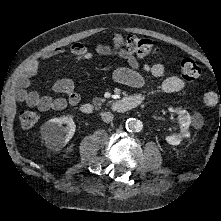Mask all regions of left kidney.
Here are the masks:
<instances>
[{
	"mask_svg": "<svg viewBox=\"0 0 221 221\" xmlns=\"http://www.w3.org/2000/svg\"><path fill=\"white\" fill-rule=\"evenodd\" d=\"M171 112H175L177 114V119L179 121L180 133H176L173 135H167L165 140L170 145H179L184 138H190L189 127L191 124V116L186 110H178L174 108H170Z\"/></svg>",
	"mask_w": 221,
	"mask_h": 221,
	"instance_id": "1",
	"label": "left kidney"
}]
</instances>
